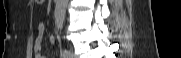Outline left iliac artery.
<instances>
[{
  "label": "left iliac artery",
  "instance_id": "44dca946",
  "mask_svg": "<svg viewBox=\"0 0 181 58\" xmlns=\"http://www.w3.org/2000/svg\"><path fill=\"white\" fill-rule=\"evenodd\" d=\"M71 56V53L67 50V49H64L63 51V57L64 58H70Z\"/></svg>",
  "mask_w": 181,
  "mask_h": 58
}]
</instances>
